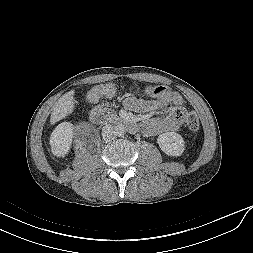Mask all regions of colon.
<instances>
[{
    "label": "colon",
    "mask_w": 253,
    "mask_h": 253,
    "mask_svg": "<svg viewBox=\"0 0 253 253\" xmlns=\"http://www.w3.org/2000/svg\"><path fill=\"white\" fill-rule=\"evenodd\" d=\"M145 93L150 96H160L168 91V88L163 85H155L145 88ZM115 93V87L112 84H106L101 87L92 89L88 97L91 101H97L101 96H111ZM186 125L190 130L196 131L199 129V116L195 112H190L186 117Z\"/></svg>",
    "instance_id": "1"
}]
</instances>
